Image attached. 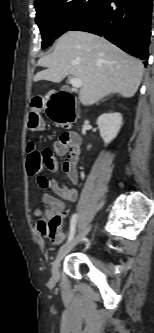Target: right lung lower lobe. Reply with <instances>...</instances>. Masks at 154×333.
Segmentation results:
<instances>
[{
	"mask_svg": "<svg viewBox=\"0 0 154 333\" xmlns=\"http://www.w3.org/2000/svg\"><path fill=\"white\" fill-rule=\"evenodd\" d=\"M152 1L100 0L91 14L70 30L103 36L127 53L147 60ZM144 63L147 64V61Z\"/></svg>",
	"mask_w": 154,
	"mask_h": 333,
	"instance_id": "1",
	"label": "right lung lower lobe"
}]
</instances>
